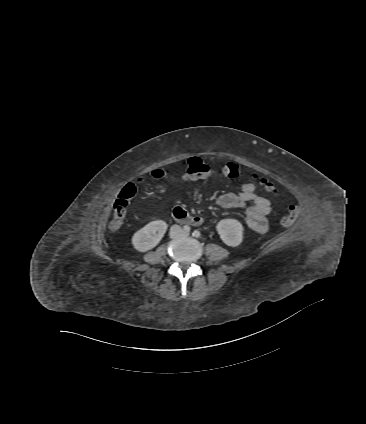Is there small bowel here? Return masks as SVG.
<instances>
[{
	"label": "small bowel",
	"instance_id": "small-bowel-1",
	"mask_svg": "<svg viewBox=\"0 0 366 424\" xmlns=\"http://www.w3.org/2000/svg\"><path fill=\"white\" fill-rule=\"evenodd\" d=\"M217 204L222 208H246L248 227L257 233L267 231V216L271 211V205L268 199L256 193L253 183L243 184L237 193L229 192L220 195Z\"/></svg>",
	"mask_w": 366,
	"mask_h": 424
}]
</instances>
